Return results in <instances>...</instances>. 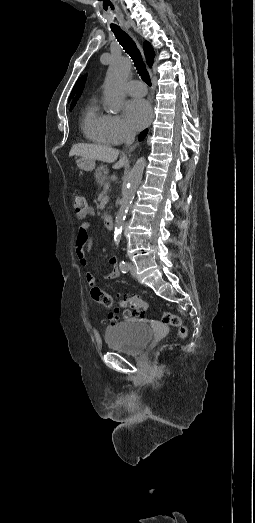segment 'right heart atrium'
<instances>
[{
    "label": "right heart atrium",
    "instance_id": "right-heart-atrium-1",
    "mask_svg": "<svg viewBox=\"0 0 255 523\" xmlns=\"http://www.w3.org/2000/svg\"><path fill=\"white\" fill-rule=\"evenodd\" d=\"M112 124L118 137L128 139L133 135L132 129L121 115L112 116Z\"/></svg>",
    "mask_w": 255,
    "mask_h": 523
}]
</instances>
